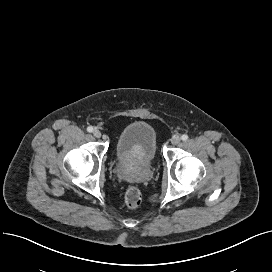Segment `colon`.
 Segmentation results:
<instances>
[{"mask_svg":"<svg viewBox=\"0 0 272 272\" xmlns=\"http://www.w3.org/2000/svg\"><path fill=\"white\" fill-rule=\"evenodd\" d=\"M142 200L141 191L136 186H130L125 193V203L129 208H137Z\"/></svg>","mask_w":272,"mask_h":272,"instance_id":"5ec220e1","label":"colon"}]
</instances>
